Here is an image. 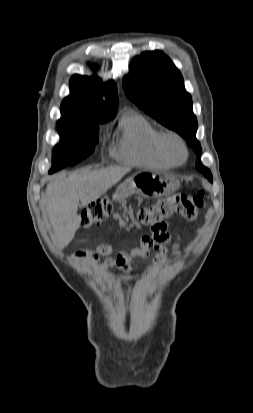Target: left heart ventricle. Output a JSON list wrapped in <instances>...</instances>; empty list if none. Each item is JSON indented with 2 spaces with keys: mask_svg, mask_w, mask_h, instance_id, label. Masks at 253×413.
<instances>
[{
  "mask_svg": "<svg viewBox=\"0 0 253 413\" xmlns=\"http://www.w3.org/2000/svg\"><path fill=\"white\" fill-rule=\"evenodd\" d=\"M174 153H175L177 158L182 157V153H181L180 149L177 146H174Z\"/></svg>",
  "mask_w": 253,
  "mask_h": 413,
  "instance_id": "left-heart-ventricle-1",
  "label": "left heart ventricle"
}]
</instances>
